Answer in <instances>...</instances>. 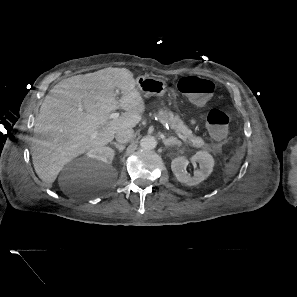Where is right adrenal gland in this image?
<instances>
[{
  "instance_id": "obj_1",
  "label": "right adrenal gland",
  "mask_w": 297,
  "mask_h": 297,
  "mask_svg": "<svg viewBox=\"0 0 297 297\" xmlns=\"http://www.w3.org/2000/svg\"><path fill=\"white\" fill-rule=\"evenodd\" d=\"M110 144L114 145L118 149L119 152H122L125 149V145H122V144H119L116 142H111Z\"/></svg>"
}]
</instances>
